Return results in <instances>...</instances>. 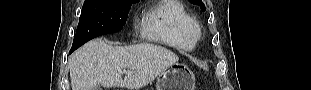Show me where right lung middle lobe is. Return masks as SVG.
<instances>
[{
  "instance_id": "1",
  "label": "right lung middle lobe",
  "mask_w": 311,
  "mask_h": 90,
  "mask_svg": "<svg viewBox=\"0 0 311 90\" xmlns=\"http://www.w3.org/2000/svg\"><path fill=\"white\" fill-rule=\"evenodd\" d=\"M136 2L138 0H85L71 49L95 37L120 31L131 4Z\"/></svg>"
}]
</instances>
